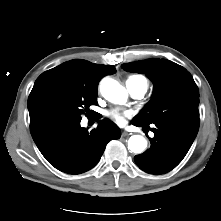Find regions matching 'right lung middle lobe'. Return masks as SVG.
<instances>
[{"instance_id":"obj_1","label":"right lung middle lobe","mask_w":221,"mask_h":221,"mask_svg":"<svg viewBox=\"0 0 221 221\" xmlns=\"http://www.w3.org/2000/svg\"><path fill=\"white\" fill-rule=\"evenodd\" d=\"M97 90L82 86L63 84L50 90L44 100L47 116L81 117L89 106L97 104Z\"/></svg>"}]
</instances>
